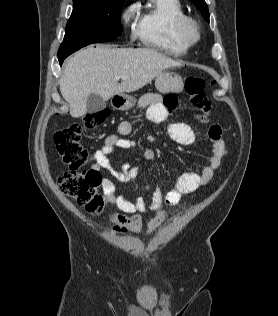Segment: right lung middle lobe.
Here are the masks:
<instances>
[{
    "instance_id": "obj_1",
    "label": "right lung middle lobe",
    "mask_w": 278,
    "mask_h": 316,
    "mask_svg": "<svg viewBox=\"0 0 278 316\" xmlns=\"http://www.w3.org/2000/svg\"><path fill=\"white\" fill-rule=\"evenodd\" d=\"M123 3L124 0H73L74 8L58 58H66L88 44L112 41L120 36Z\"/></svg>"
}]
</instances>
